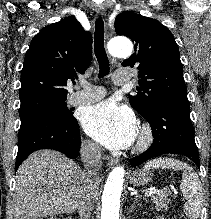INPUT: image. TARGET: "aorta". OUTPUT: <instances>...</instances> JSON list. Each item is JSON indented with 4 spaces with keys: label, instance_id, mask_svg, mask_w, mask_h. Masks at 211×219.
<instances>
[{
    "label": "aorta",
    "instance_id": "1",
    "mask_svg": "<svg viewBox=\"0 0 211 219\" xmlns=\"http://www.w3.org/2000/svg\"><path fill=\"white\" fill-rule=\"evenodd\" d=\"M109 51L116 57H129L133 51L132 43L127 39H116L111 42ZM125 170L115 167L107 178L102 195L101 219H119L120 197L124 182Z\"/></svg>",
    "mask_w": 211,
    "mask_h": 219
}]
</instances>
